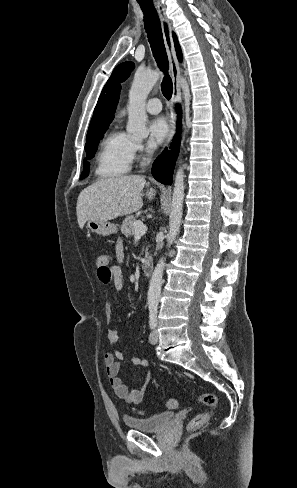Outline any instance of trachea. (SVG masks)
<instances>
[{
	"label": "trachea",
	"mask_w": 297,
	"mask_h": 488,
	"mask_svg": "<svg viewBox=\"0 0 297 488\" xmlns=\"http://www.w3.org/2000/svg\"><path fill=\"white\" fill-rule=\"evenodd\" d=\"M139 5L144 13L145 30L153 52V56L157 62L158 67L165 74L161 83L162 94L166 99H170L173 92V84L172 79L168 75L169 63L163 41L159 18L151 1L139 2Z\"/></svg>",
	"instance_id": "1"
}]
</instances>
